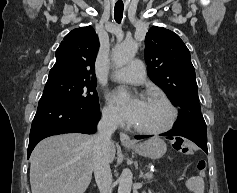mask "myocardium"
<instances>
[{"label":"myocardium","mask_w":237,"mask_h":193,"mask_svg":"<svg viewBox=\"0 0 237 193\" xmlns=\"http://www.w3.org/2000/svg\"><path fill=\"white\" fill-rule=\"evenodd\" d=\"M146 99L157 100V101L162 102L169 111L168 121L164 126L160 128L149 129V128H142V127L133 125V129L141 134H146V135H160L171 130L174 127L177 121V117H178V111L176 107L174 106V104L165 95L158 94V93L151 94L147 96Z\"/></svg>","instance_id":"1"}]
</instances>
